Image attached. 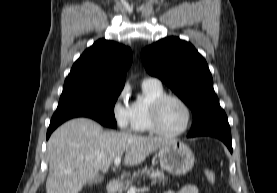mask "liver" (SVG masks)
<instances>
[{
	"label": "liver",
	"mask_w": 277,
	"mask_h": 193,
	"mask_svg": "<svg viewBox=\"0 0 277 193\" xmlns=\"http://www.w3.org/2000/svg\"><path fill=\"white\" fill-rule=\"evenodd\" d=\"M171 142L126 132H105L95 121L76 118L53 132L47 144L49 174L46 193H79L99 171L108 172L116 157L134 166Z\"/></svg>",
	"instance_id": "1"
}]
</instances>
